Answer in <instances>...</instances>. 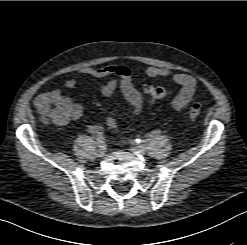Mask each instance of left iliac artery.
Wrapping results in <instances>:
<instances>
[{
  "mask_svg": "<svg viewBox=\"0 0 247 245\" xmlns=\"http://www.w3.org/2000/svg\"><path fill=\"white\" fill-rule=\"evenodd\" d=\"M160 134H161V131L160 130H154L153 132H151L148 135V139L147 140L156 139V138H158L160 136ZM135 142L138 143V144H141V143H144L146 141L145 140H142V139H136Z\"/></svg>",
  "mask_w": 247,
  "mask_h": 245,
  "instance_id": "1",
  "label": "left iliac artery"
}]
</instances>
